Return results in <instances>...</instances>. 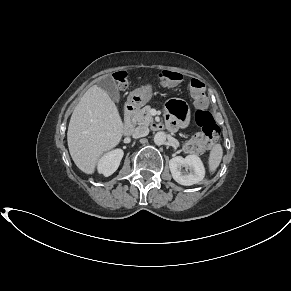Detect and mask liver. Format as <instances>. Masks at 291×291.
Instances as JSON below:
<instances>
[{"instance_id":"obj_1","label":"liver","mask_w":291,"mask_h":291,"mask_svg":"<svg viewBox=\"0 0 291 291\" xmlns=\"http://www.w3.org/2000/svg\"><path fill=\"white\" fill-rule=\"evenodd\" d=\"M124 125L106 91L93 85L75 107L67 132L70 155L76 166L93 174L101 156L122 139Z\"/></svg>"}]
</instances>
